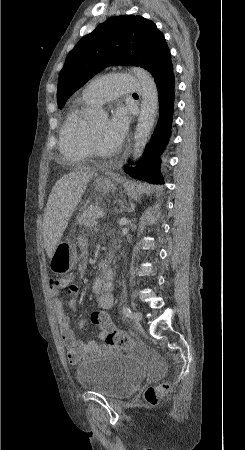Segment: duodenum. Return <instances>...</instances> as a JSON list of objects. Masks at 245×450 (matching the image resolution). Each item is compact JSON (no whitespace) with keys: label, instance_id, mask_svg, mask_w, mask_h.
I'll list each match as a JSON object with an SVG mask.
<instances>
[{"label":"duodenum","instance_id":"obj_1","mask_svg":"<svg viewBox=\"0 0 245 450\" xmlns=\"http://www.w3.org/2000/svg\"><path fill=\"white\" fill-rule=\"evenodd\" d=\"M99 268L102 272H108L111 269L110 262L103 260L99 263Z\"/></svg>","mask_w":245,"mask_h":450}]
</instances>
